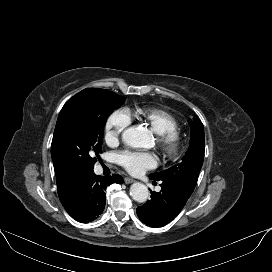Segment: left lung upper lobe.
I'll return each instance as SVG.
<instances>
[{
    "label": "left lung upper lobe",
    "mask_w": 272,
    "mask_h": 272,
    "mask_svg": "<svg viewBox=\"0 0 272 272\" xmlns=\"http://www.w3.org/2000/svg\"><path fill=\"white\" fill-rule=\"evenodd\" d=\"M189 122L192 124L190 146L182 161L167 170L152 173L150 178L157 181H170L193 192L203 164L205 143L204 127L201 121L195 117L194 121L189 119Z\"/></svg>",
    "instance_id": "1"
}]
</instances>
